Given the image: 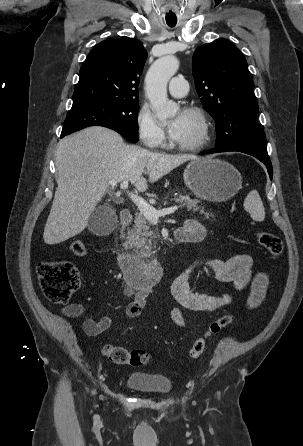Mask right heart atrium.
Here are the masks:
<instances>
[{"label":"right heart atrium","mask_w":303,"mask_h":446,"mask_svg":"<svg viewBox=\"0 0 303 446\" xmlns=\"http://www.w3.org/2000/svg\"><path fill=\"white\" fill-rule=\"evenodd\" d=\"M136 125L138 136L144 145L157 148L165 143V131L148 108L142 107L138 111Z\"/></svg>","instance_id":"obj_1"}]
</instances>
